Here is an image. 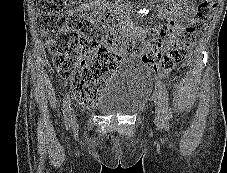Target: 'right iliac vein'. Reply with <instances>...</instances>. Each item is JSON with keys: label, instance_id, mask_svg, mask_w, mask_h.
<instances>
[{"label": "right iliac vein", "instance_id": "obj_1", "mask_svg": "<svg viewBox=\"0 0 227 173\" xmlns=\"http://www.w3.org/2000/svg\"><path fill=\"white\" fill-rule=\"evenodd\" d=\"M75 122V114L73 109L70 110V123L73 124Z\"/></svg>", "mask_w": 227, "mask_h": 173}]
</instances>
